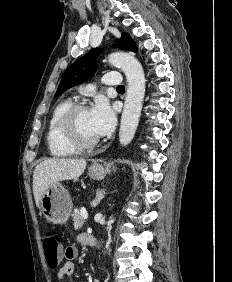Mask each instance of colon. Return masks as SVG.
I'll return each instance as SVG.
<instances>
[{
	"label": "colon",
	"instance_id": "colon-1",
	"mask_svg": "<svg viewBox=\"0 0 232 282\" xmlns=\"http://www.w3.org/2000/svg\"><path fill=\"white\" fill-rule=\"evenodd\" d=\"M43 248L48 266L51 269H56L61 260L65 258L67 250H62L59 240L50 232L46 233L43 237Z\"/></svg>",
	"mask_w": 232,
	"mask_h": 282
}]
</instances>
